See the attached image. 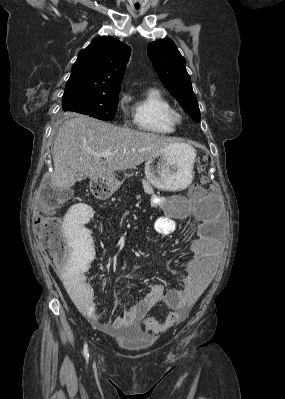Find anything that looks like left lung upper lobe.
Listing matches in <instances>:
<instances>
[{"label": "left lung upper lobe", "instance_id": "obj_1", "mask_svg": "<svg viewBox=\"0 0 285 399\" xmlns=\"http://www.w3.org/2000/svg\"><path fill=\"white\" fill-rule=\"evenodd\" d=\"M147 52L164 86L190 117L199 122V106L185 68L186 60L175 43L170 39L158 40L148 45Z\"/></svg>", "mask_w": 285, "mask_h": 399}]
</instances>
